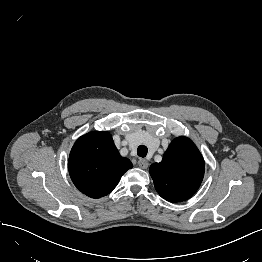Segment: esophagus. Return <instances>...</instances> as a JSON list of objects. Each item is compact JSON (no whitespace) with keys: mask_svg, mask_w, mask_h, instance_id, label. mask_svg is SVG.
I'll use <instances>...</instances> for the list:
<instances>
[{"mask_svg":"<svg viewBox=\"0 0 262 262\" xmlns=\"http://www.w3.org/2000/svg\"><path fill=\"white\" fill-rule=\"evenodd\" d=\"M138 166L142 169H147L148 168V162L146 159L140 158L137 162Z\"/></svg>","mask_w":262,"mask_h":262,"instance_id":"34e87169","label":"esophagus"}]
</instances>
